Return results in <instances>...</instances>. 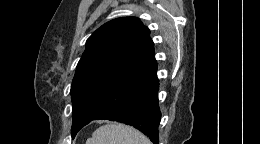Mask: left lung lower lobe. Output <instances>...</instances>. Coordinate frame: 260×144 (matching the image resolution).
Wrapping results in <instances>:
<instances>
[{
	"label": "left lung lower lobe",
	"instance_id": "1",
	"mask_svg": "<svg viewBox=\"0 0 260 144\" xmlns=\"http://www.w3.org/2000/svg\"><path fill=\"white\" fill-rule=\"evenodd\" d=\"M156 60L131 75L92 120L121 122L143 132L153 144H159V82Z\"/></svg>",
	"mask_w": 260,
	"mask_h": 144
}]
</instances>
